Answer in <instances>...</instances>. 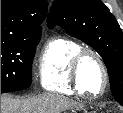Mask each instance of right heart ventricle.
<instances>
[{
  "mask_svg": "<svg viewBox=\"0 0 123 113\" xmlns=\"http://www.w3.org/2000/svg\"><path fill=\"white\" fill-rule=\"evenodd\" d=\"M82 47L63 36L50 38L42 50L38 73L41 87L49 92L80 93L74 86L70 73L73 57Z\"/></svg>",
  "mask_w": 123,
  "mask_h": 113,
  "instance_id": "obj_1",
  "label": "right heart ventricle"
}]
</instances>
